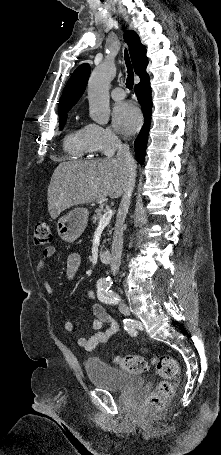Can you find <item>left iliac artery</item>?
<instances>
[{"instance_id": "44dca946", "label": "left iliac artery", "mask_w": 221, "mask_h": 455, "mask_svg": "<svg viewBox=\"0 0 221 455\" xmlns=\"http://www.w3.org/2000/svg\"><path fill=\"white\" fill-rule=\"evenodd\" d=\"M110 287H98L97 296L101 302L108 303V304H117L119 299V295L109 290Z\"/></svg>"}]
</instances>
